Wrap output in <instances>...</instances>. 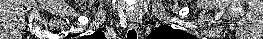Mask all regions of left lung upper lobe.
Returning <instances> with one entry per match:
<instances>
[{
  "label": "left lung upper lobe",
  "instance_id": "1",
  "mask_svg": "<svg viewBox=\"0 0 263 39\" xmlns=\"http://www.w3.org/2000/svg\"><path fill=\"white\" fill-rule=\"evenodd\" d=\"M148 39H195L194 36L178 29H173L171 26L162 25L155 29Z\"/></svg>",
  "mask_w": 263,
  "mask_h": 39
}]
</instances>
